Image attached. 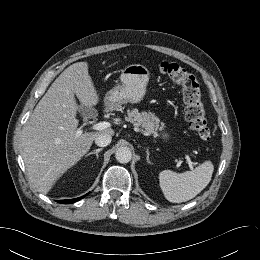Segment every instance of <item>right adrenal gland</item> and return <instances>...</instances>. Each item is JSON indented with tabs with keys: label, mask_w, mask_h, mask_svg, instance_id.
<instances>
[{
	"label": "right adrenal gland",
	"mask_w": 260,
	"mask_h": 260,
	"mask_svg": "<svg viewBox=\"0 0 260 260\" xmlns=\"http://www.w3.org/2000/svg\"><path fill=\"white\" fill-rule=\"evenodd\" d=\"M103 150V148H99V149H96V150H94V151H92V152H89L88 154H86V157L87 156H90V155H92V154H96V157L98 158L99 157V152H101Z\"/></svg>",
	"instance_id": "1"
}]
</instances>
